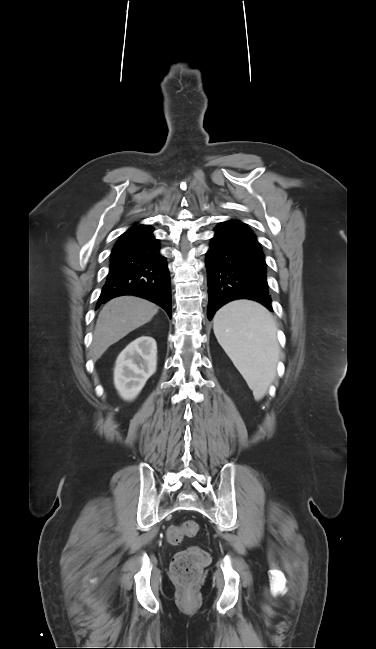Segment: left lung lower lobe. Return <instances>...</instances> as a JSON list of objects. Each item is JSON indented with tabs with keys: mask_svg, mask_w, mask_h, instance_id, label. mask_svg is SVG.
<instances>
[{
	"mask_svg": "<svg viewBox=\"0 0 376 649\" xmlns=\"http://www.w3.org/2000/svg\"><path fill=\"white\" fill-rule=\"evenodd\" d=\"M208 319L224 304L251 299L272 311L266 278L267 264L251 229L239 220L220 223L206 253Z\"/></svg>",
	"mask_w": 376,
	"mask_h": 649,
	"instance_id": "left-lung-lower-lobe-1",
	"label": "left lung lower lobe"
}]
</instances>
